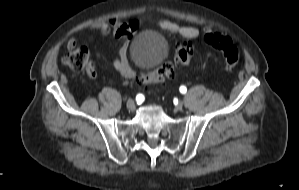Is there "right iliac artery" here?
I'll return each mask as SVG.
<instances>
[{
    "label": "right iliac artery",
    "instance_id": "obj_1",
    "mask_svg": "<svg viewBox=\"0 0 299 190\" xmlns=\"http://www.w3.org/2000/svg\"><path fill=\"white\" fill-rule=\"evenodd\" d=\"M144 100V96L142 94H138L136 96L137 103H141Z\"/></svg>",
    "mask_w": 299,
    "mask_h": 190
}]
</instances>
